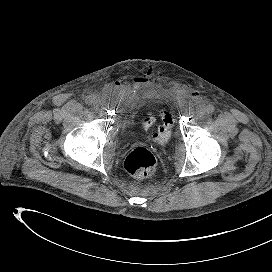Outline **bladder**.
<instances>
[{
    "instance_id": "bladder-1",
    "label": "bladder",
    "mask_w": 272,
    "mask_h": 272,
    "mask_svg": "<svg viewBox=\"0 0 272 272\" xmlns=\"http://www.w3.org/2000/svg\"><path fill=\"white\" fill-rule=\"evenodd\" d=\"M128 124H129L128 121H126L125 125L128 126Z\"/></svg>"
}]
</instances>
